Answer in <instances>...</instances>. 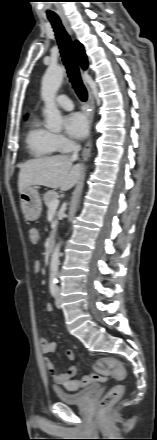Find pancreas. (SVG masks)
<instances>
[{
    "label": "pancreas",
    "instance_id": "pancreas-1",
    "mask_svg": "<svg viewBox=\"0 0 157 440\" xmlns=\"http://www.w3.org/2000/svg\"><path fill=\"white\" fill-rule=\"evenodd\" d=\"M58 198V193L56 191H48L47 193L44 194L43 196V200L45 202V205L47 207H49V204ZM55 223L58 224V220H55Z\"/></svg>",
    "mask_w": 157,
    "mask_h": 440
}]
</instances>
